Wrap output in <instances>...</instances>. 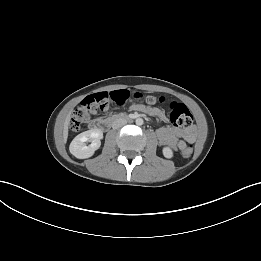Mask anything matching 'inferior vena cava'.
Listing matches in <instances>:
<instances>
[{
	"mask_svg": "<svg viewBox=\"0 0 261 261\" xmlns=\"http://www.w3.org/2000/svg\"><path fill=\"white\" fill-rule=\"evenodd\" d=\"M127 123L126 119L124 118H117L113 121L112 123V128L113 129H118L122 126H124Z\"/></svg>",
	"mask_w": 261,
	"mask_h": 261,
	"instance_id": "obj_1",
	"label": "inferior vena cava"
}]
</instances>
